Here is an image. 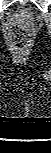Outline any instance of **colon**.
Wrapping results in <instances>:
<instances>
[{
    "label": "colon",
    "mask_w": 51,
    "mask_h": 153,
    "mask_svg": "<svg viewBox=\"0 0 51 153\" xmlns=\"http://www.w3.org/2000/svg\"><path fill=\"white\" fill-rule=\"evenodd\" d=\"M9 39L12 44L17 48H24L31 42L30 33L19 24H15L10 28Z\"/></svg>",
    "instance_id": "obj_1"
}]
</instances>
